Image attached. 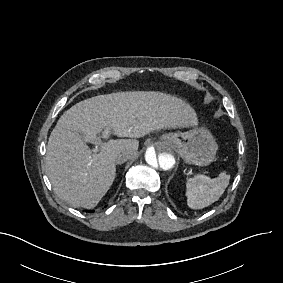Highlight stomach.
<instances>
[{
    "label": "stomach",
    "instance_id": "1",
    "mask_svg": "<svg viewBox=\"0 0 283 283\" xmlns=\"http://www.w3.org/2000/svg\"><path fill=\"white\" fill-rule=\"evenodd\" d=\"M159 140L163 147L174 149L185 163L191 165L208 166L216 156L217 144L204 129L164 133Z\"/></svg>",
    "mask_w": 283,
    "mask_h": 283
}]
</instances>
